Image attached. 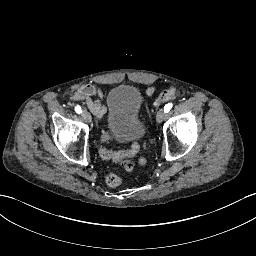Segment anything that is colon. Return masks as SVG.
<instances>
[{"mask_svg":"<svg viewBox=\"0 0 256 256\" xmlns=\"http://www.w3.org/2000/svg\"><path fill=\"white\" fill-rule=\"evenodd\" d=\"M176 94V90L173 87H170L164 91H162L159 96L157 97L156 101L154 102V108H160L163 104H165L167 101H170L174 98ZM114 139V135L111 132H105L103 135V141L108 142ZM140 150V145L137 143H134L130 150L127 152H124L123 150H120L117 153L112 152L111 150L101 147L99 149L100 156L102 158H110L113 160L121 159L123 156L131 157L133 158L134 155H136ZM125 171L130 172L134 169V164L131 161L126 162L124 166ZM104 181L106 185L112 188H116L122 185V177L118 172H110L105 175Z\"/></svg>","mask_w":256,"mask_h":256,"instance_id":"1","label":"colon"}]
</instances>
